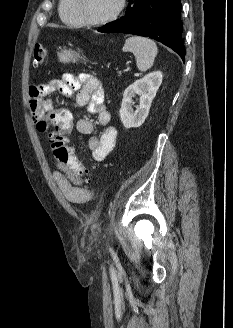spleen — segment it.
Listing matches in <instances>:
<instances>
[{"mask_svg":"<svg viewBox=\"0 0 233 328\" xmlns=\"http://www.w3.org/2000/svg\"><path fill=\"white\" fill-rule=\"evenodd\" d=\"M122 50L134 54L137 68L141 72H146L153 66L154 59L158 53L156 43L143 36H132L126 39Z\"/></svg>","mask_w":233,"mask_h":328,"instance_id":"3e777b00","label":"spleen"}]
</instances>
